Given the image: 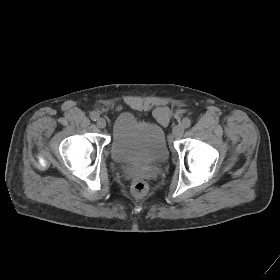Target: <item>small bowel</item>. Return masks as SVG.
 <instances>
[{
  "label": "small bowel",
  "mask_w": 280,
  "mask_h": 280,
  "mask_svg": "<svg viewBox=\"0 0 280 280\" xmlns=\"http://www.w3.org/2000/svg\"><path fill=\"white\" fill-rule=\"evenodd\" d=\"M155 115L162 122H168L171 116V112L168 108H158L155 110Z\"/></svg>",
  "instance_id": "small-bowel-1"
}]
</instances>
